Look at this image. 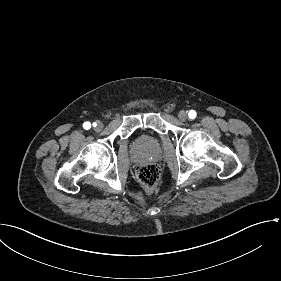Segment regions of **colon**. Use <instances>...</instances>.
<instances>
[{
    "mask_svg": "<svg viewBox=\"0 0 281 281\" xmlns=\"http://www.w3.org/2000/svg\"><path fill=\"white\" fill-rule=\"evenodd\" d=\"M136 176L145 189H153L156 187L160 176L158 165L155 163L143 164L138 168Z\"/></svg>",
    "mask_w": 281,
    "mask_h": 281,
    "instance_id": "1",
    "label": "colon"
}]
</instances>
